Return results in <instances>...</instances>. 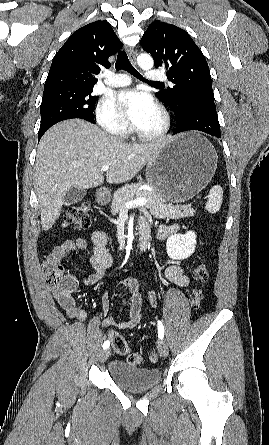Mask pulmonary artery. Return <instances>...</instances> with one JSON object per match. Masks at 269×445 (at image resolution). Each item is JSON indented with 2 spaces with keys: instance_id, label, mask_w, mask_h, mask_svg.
Here are the masks:
<instances>
[{
  "instance_id": "pulmonary-artery-1",
  "label": "pulmonary artery",
  "mask_w": 269,
  "mask_h": 445,
  "mask_svg": "<svg viewBox=\"0 0 269 445\" xmlns=\"http://www.w3.org/2000/svg\"><path fill=\"white\" fill-rule=\"evenodd\" d=\"M146 79L152 82L164 81L166 80V76L162 72L150 70L146 73ZM130 82L131 79L126 74H114L108 80V83L114 87L126 86L130 84Z\"/></svg>"
}]
</instances>
